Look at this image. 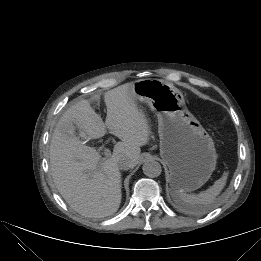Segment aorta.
<instances>
[{"label":"aorta","instance_id":"obj_1","mask_svg":"<svg viewBox=\"0 0 261 261\" xmlns=\"http://www.w3.org/2000/svg\"><path fill=\"white\" fill-rule=\"evenodd\" d=\"M143 173L151 178L158 177L162 172V167L159 162L155 160H147L143 166Z\"/></svg>","mask_w":261,"mask_h":261}]
</instances>
